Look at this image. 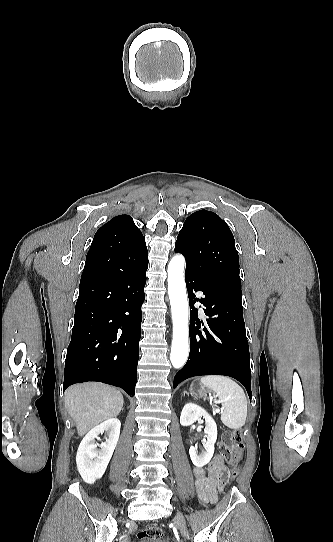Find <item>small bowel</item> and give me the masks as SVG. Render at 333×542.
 <instances>
[{"mask_svg":"<svg viewBox=\"0 0 333 542\" xmlns=\"http://www.w3.org/2000/svg\"><path fill=\"white\" fill-rule=\"evenodd\" d=\"M193 474L198 499L205 506L217 502L219 488L230 476L224 456L220 453L214 455L206 468L195 467Z\"/></svg>","mask_w":333,"mask_h":542,"instance_id":"small-bowel-1","label":"small bowel"}]
</instances>
